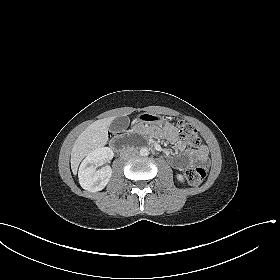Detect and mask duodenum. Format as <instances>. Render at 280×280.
<instances>
[{
    "mask_svg": "<svg viewBox=\"0 0 280 280\" xmlns=\"http://www.w3.org/2000/svg\"><path fill=\"white\" fill-rule=\"evenodd\" d=\"M112 147H113L114 149H118V150H119L120 148L123 147L120 138H116V139L113 141Z\"/></svg>",
    "mask_w": 280,
    "mask_h": 280,
    "instance_id": "1",
    "label": "duodenum"
}]
</instances>
